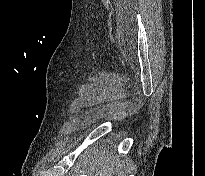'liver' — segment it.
Segmentation results:
<instances>
[{
	"mask_svg": "<svg viewBox=\"0 0 205 176\" xmlns=\"http://www.w3.org/2000/svg\"><path fill=\"white\" fill-rule=\"evenodd\" d=\"M114 165L115 161L111 157H104L101 161L96 159L92 176H114Z\"/></svg>",
	"mask_w": 205,
	"mask_h": 176,
	"instance_id": "1",
	"label": "liver"
}]
</instances>
